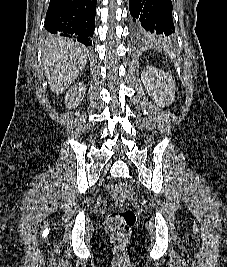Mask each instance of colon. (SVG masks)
<instances>
[{
  "label": "colon",
  "instance_id": "5ec220e1",
  "mask_svg": "<svg viewBox=\"0 0 227 267\" xmlns=\"http://www.w3.org/2000/svg\"><path fill=\"white\" fill-rule=\"evenodd\" d=\"M133 197L132 188L126 182L116 183L112 188V199L116 204L125 205ZM136 222V214L130 209H119L109 214L105 228L116 244H124Z\"/></svg>",
  "mask_w": 227,
  "mask_h": 267
}]
</instances>
